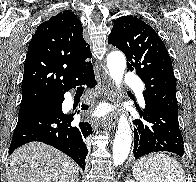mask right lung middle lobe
Instances as JSON below:
<instances>
[{"label": "right lung middle lobe", "instance_id": "1", "mask_svg": "<svg viewBox=\"0 0 196 182\" xmlns=\"http://www.w3.org/2000/svg\"><path fill=\"white\" fill-rule=\"evenodd\" d=\"M54 100H55V98L45 100L42 102H38V103H34V104L21 105L20 110H19V116L26 114V113H29V112H32V111H35V110L43 109V108L49 106L50 104H52Z\"/></svg>", "mask_w": 196, "mask_h": 182}]
</instances>
